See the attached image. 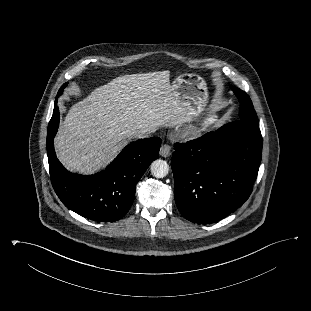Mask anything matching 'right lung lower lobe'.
Here are the masks:
<instances>
[{"label": "right lung lower lobe", "instance_id": "98d812e1", "mask_svg": "<svg viewBox=\"0 0 311 311\" xmlns=\"http://www.w3.org/2000/svg\"><path fill=\"white\" fill-rule=\"evenodd\" d=\"M58 126L59 109L55 106L46 145L51 183L59 199L67 208L90 220L121 219L133 203L137 182L157 159L161 139L151 137L132 142L105 170L82 176L67 171L56 157L53 140Z\"/></svg>", "mask_w": 311, "mask_h": 311}]
</instances>
